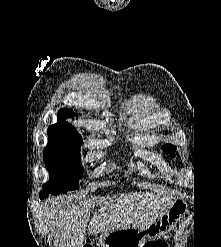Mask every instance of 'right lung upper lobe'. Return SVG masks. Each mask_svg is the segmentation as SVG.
Returning a JSON list of instances; mask_svg holds the SVG:
<instances>
[{
    "instance_id": "1",
    "label": "right lung upper lobe",
    "mask_w": 221,
    "mask_h": 247,
    "mask_svg": "<svg viewBox=\"0 0 221 247\" xmlns=\"http://www.w3.org/2000/svg\"><path fill=\"white\" fill-rule=\"evenodd\" d=\"M75 113L71 109H61L59 112L60 121L57 124H54L48 128V132L60 133L65 135H70L74 137H81L78 131L71 125L65 122V118L73 117ZM82 138V137H81Z\"/></svg>"
}]
</instances>
